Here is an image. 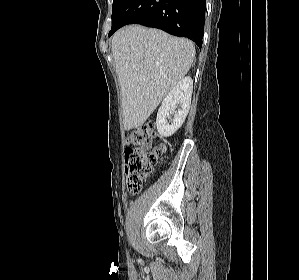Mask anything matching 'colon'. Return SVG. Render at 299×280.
<instances>
[{"label":"colon","instance_id":"obj_1","mask_svg":"<svg viewBox=\"0 0 299 280\" xmlns=\"http://www.w3.org/2000/svg\"><path fill=\"white\" fill-rule=\"evenodd\" d=\"M154 125L136 128L126 137L125 164L127 190L138 194L152 174L162 155L161 148L146 151L145 146L154 138Z\"/></svg>","mask_w":299,"mask_h":280}]
</instances>
